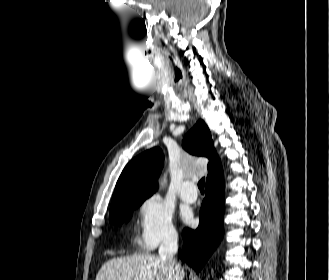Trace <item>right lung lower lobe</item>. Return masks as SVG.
Wrapping results in <instances>:
<instances>
[{"instance_id": "obj_1", "label": "right lung lower lobe", "mask_w": 329, "mask_h": 280, "mask_svg": "<svg viewBox=\"0 0 329 280\" xmlns=\"http://www.w3.org/2000/svg\"><path fill=\"white\" fill-rule=\"evenodd\" d=\"M224 179L217 172L206 182V197L200 211L199 227L183 230L184 245L180 258L197 273L209 259L223 237Z\"/></svg>"}]
</instances>
